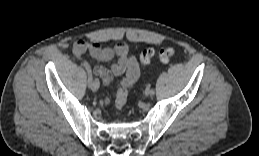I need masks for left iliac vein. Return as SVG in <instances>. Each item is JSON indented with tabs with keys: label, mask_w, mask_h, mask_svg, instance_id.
<instances>
[{
	"label": "left iliac vein",
	"mask_w": 259,
	"mask_h": 156,
	"mask_svg": "<svg viewBox=\"0 0 259 156\" xmlns=\"http://www.w3.org/2000/svg\"><path fill=\"white\" fill-rule=\"evenodd\" d=\"M145 94H146L147 96H151V89H146Z\"/></svg>",
	"instance_id": "left-iliac-vein-1"
}]
</instances>
